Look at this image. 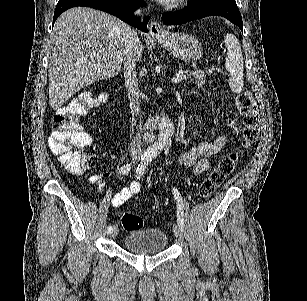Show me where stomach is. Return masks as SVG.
Masks as SVG:
<instances>
[{"instance_id":"0dacf381","label":"stomach","mask_w":307,"mask_h":301,"mask_svg":"<svg viewBox=\"0 0 307 301\" xmlns=\"http://www.w3.org/2000/svg\"><path fill=\"white\" fill-rule=\"evenodd\" d=\"M153 38L163 48L172 52L177 58L186 60V62H196L203 54L200 40L192 34H188V32H168V30H164L163 34H156Z\"/></svg>"}]
</instances>
